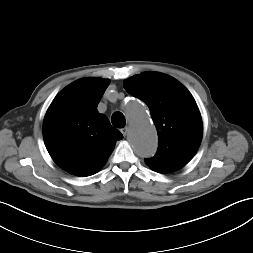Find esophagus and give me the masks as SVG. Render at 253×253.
Here are the masks:
<instances>
[{"label": "esophagus", "instance_id": "34e87169", "mask_svg": "<svg viewBox=\"0 0 253 253\" xmlns=\"http://www.w3.org/2000/svg\"><path fill=\"white\" fill-rule=\"evenodd\" d=\"M121 132H122V134H123L124 136H126L127 133H128V127L122 128V129H121Z\"/></svg>", "mask_w": 253, "mask_h": 253}]
</instances>
